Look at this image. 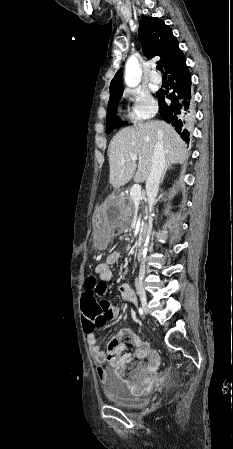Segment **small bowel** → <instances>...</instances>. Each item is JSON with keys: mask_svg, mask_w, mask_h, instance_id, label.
<instances>
[{"mask_svg": "<svg viewBox=\"0 0 233 449\" xmlns=\"http://www.w3.org/2000/svg\"><path fill=\"white\" fill-rule=\"evenodd\" d=\"M120 258L118 251L110 252L105 262L96 266V273L99 280L96 281L94 291L97 292L96 300L99 302V306L104 308L106 314L103 322V326L107 322L116 320L120 314V307L115 305L111 299H106L108 296V282L113 278V271L111 269ZM135 288L129 284H123L119 287V294L125 301H131L133 295L136 293ZM82 307V306H81ZM83 310V309H82ZM89 345L91 355L96 364V371L102 381L107 380L108 368L107 363L113 368L115 375L122 380V382L133 385V397L134 399H149L151 390V384L153 383V374L157 370L159 365V356L156 351L142 342L137 336H132L129 343H124L119 346L120 356L116 357V360H120L121 364L109 359L108 354L101 348L98 336L95 332L96 328H83ZM128 348L133 349L134 356L140 360V362L133 366L132 355L126 352ZM131 369L132 375L130 381L123 378V374Z\"/></svg>", "mask_w": 233, "mask_h": 449, "instance_id": "obj_1", "label": "small bowel"}]
</instances>
